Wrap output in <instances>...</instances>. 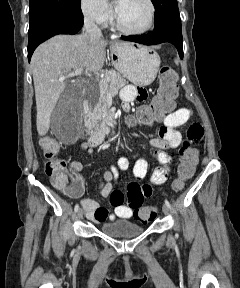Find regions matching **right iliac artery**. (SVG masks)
I'll return each mask as SVG.
<instances>
[{"instance_id":"right-iliac-artery-1","label":"right iliac artery","mask_w":240,"mask_h":288,"mask_svg":"<svg viewBox=\"0 0 240 288\" xmlns=\"http://www.w3.org/2000/svg\"><path fill=\"white\" fill-rule=\"evenodd\" d=\"M78 210H79V205L76 204V205H75V208H74V211H75V212H78Z\"/></svg>"}]
</instances>
